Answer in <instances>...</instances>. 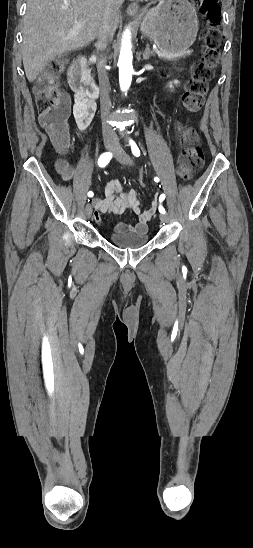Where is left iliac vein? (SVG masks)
Listing matches in <instances>:
<instances>
[{
    "label": "left iliac vein",
    "mask_w": 253,
    "mask_h": 548,
    "mask_svg": "<svg viewBox=\"0 0 253 548\" xmlns=\"http://www.w3.org/2000/svg\"><path fill=\"white\" fill-rule=\"evenodd\" d=\"M115 151L117 152L115 157L121 164L131 165L133 163V161L129 157V155H127L119 145L116 146ZM159 218H160L161 222H164V223H168V221H169V217L166 214L161 213L159 215Z\"/></svg>",
    "instance_id": "1"
}]
</instances>
